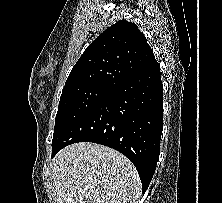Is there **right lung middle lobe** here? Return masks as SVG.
<instances>
[{
    "label": "right lung middle lobe",
    "mask_w": 222,
    "mask_h": 203,
    "mask_svg": "<svg viewBox=\"0 0 222 203\" xmlns=\"http://www.w3.org/2000/svg\"><path fill=\"white\" fill-rule=\"evenodd\" d=\"M111 92L112 89L97 86L63 89L55 118L52 144L77 120L103 102Z\"/></svg>",
    "instance_id": "1"
}]
</instances>
